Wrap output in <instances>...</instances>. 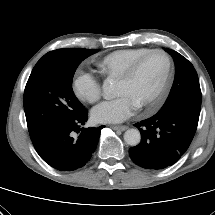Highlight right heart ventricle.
Returning <instances> with one entry per match:
<instances>
[{
  "instance_id": "obj_1",
  "label": "right heart ventricle",
  "mask_w": 215,
  "mask_h": 215,
  "mask_svg": "<svg viewBox=\"0 0 215 215\" xmlns=\"http://www.w3.org/2000/svg\"><path fill=\"white\" fill-rule=\"evenodd\" d=\"M149 48H128L113 51L98 60L97 66L107 77L118 78L128 65Z\"/></svg>"
}]
</instances>
